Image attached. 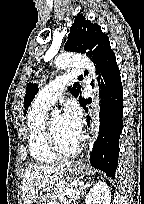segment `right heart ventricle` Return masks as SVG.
Wrapping results in <instances>:
<instances>
[{"mask_svg":"<svg viewBox=\"0 0 144 204\" xmlns=\"http://www.w3.org/2000/svg\"><path fill=\"white\" fill-rule=\"evenodd\" d=\"M49 108L35 101L27 119L29 152L31 157L39 163H51L58 159L47 141L46 122Z\"/></svg>","mask_w":144,"mask_h":204,"instance_id":"right-heart-ventricle-1","label":"right heart ventricle"}]
</instances>
